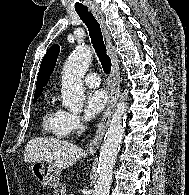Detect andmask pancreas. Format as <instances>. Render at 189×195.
Here are the masks:
<instances>
[{"mask_svg":"<svg viewBox=\"0 0 189 195\" xmlns=\"http://www.w3.org/2000/svg\"><path fill=\"white\" fill-rule=\"evenodd\" d=\"M65 187V183H56L54 185V193L56 195H62L61 189H63Z\"/></svg>","mask_w":189,"mask_h":195,"instance_id":"1","label":"pancreas"}]
</instances>
